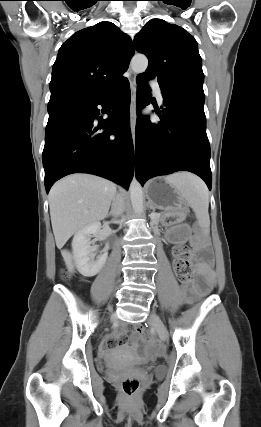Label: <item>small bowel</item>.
Instances as JSON below:
<instances>
[{
    "label": "small bowel",
    "instance_id": "c3829d8e",
    "mask_svg": "<svg viewBox=\"0 0 261 427\" xmlns=\"http://www.w3.org/2000/svg\"><path fill=\"white\" fill-rule=\"evenodd\" d=\"M203 285L204 284L202 282L196 284L195 286H193V288H191L189 290V294H195L199 289H202ZM105 343H106L107 347L114 348V347H117L123 343V338L120 335L119 336L118 335H111L106 339ZM135 345H136L135 340H132V346H135ZM153 350H154V346L151 345L148 348V351L152 352Z\"/></svg>",
    "mask_w": 261,
    "mask_h": 427
}]
</instances>
